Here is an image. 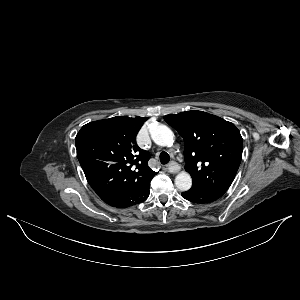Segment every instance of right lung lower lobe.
Listing matches in <instances>:
<instances>
[{
    "label": "right lung lower lobe",
    "mask_w": 300,
    "mask_h": 300,
    "mask_svg": "<svg viewBox=\"0 0 300 300\" xmlns=\"http://www.w3.org/2000/svg\"><path fill=\"white\" fill-rule=\"evenodd\" d=\"M149 187L150 183L142 188L127 189L101 199L112 207L127 208L146 200L149 196Z\"/></svg>",
    "instance_id": "1"
}]
</instances>
